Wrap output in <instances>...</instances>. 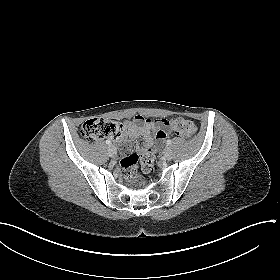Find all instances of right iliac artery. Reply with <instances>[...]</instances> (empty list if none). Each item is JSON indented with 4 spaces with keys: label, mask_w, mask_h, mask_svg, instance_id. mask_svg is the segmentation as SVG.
I'll list each match as a JSON object with an SVG mask.
<instances>
[{
    "label": "right iliac artery",
    "mask_w": 280,
    "mask_h": 280,
    "mask_svg": "<svg viewBox=\"0 0 280 280\" xmlns=\"http://www.w3.org/2000/svg\"><path fill=\"white\" fill-rule=\"evenodd\" d=\"M106 144L110 145L111 141L110 140H106Z\"/></svg>",
    "instance_id": "right-iliac-artery-1"
}]
</instances>
